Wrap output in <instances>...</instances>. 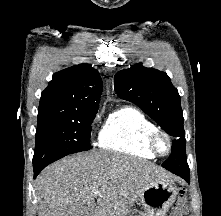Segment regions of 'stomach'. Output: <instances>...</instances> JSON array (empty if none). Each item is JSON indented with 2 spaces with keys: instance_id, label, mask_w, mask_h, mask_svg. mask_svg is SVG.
Here are the masks:
<instances>
[{
  "instance_id": "stomach-1",
  "label": "stomach",
  "mask_w": 221,
  "mask_h": 216,
  "mask_svg": "<svg viewBox=\"0 0 221 216\" xmlns=\"http://www.w3.org/2000/svg\"><path fill=\"white\" fill-rule=\"evenodd\" d=\"M177 189L168 179L149 182L140 192L143 211H129L125 216H165L176 200Z\"/></svg>"
}]
</instances>
